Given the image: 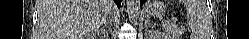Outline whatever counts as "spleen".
Listing matches in <instances>:
<instances>
[{
	"label": "spleen",
	"instance_id": "spleen-1",
	"mask_svg": "<svg viewBox=\"0 0 249 39\" xmlns=\"http://www.w3.org/2000/svg\"><path fill=\"white\" fill-rule=\"evenodd\" d=\"M187 21L191 28L192 39H208L210 34L211 19L204 0H187Z\"/></svg>",
	"mask_w": 249,
	"mask_h": 39
}]
</instances>
